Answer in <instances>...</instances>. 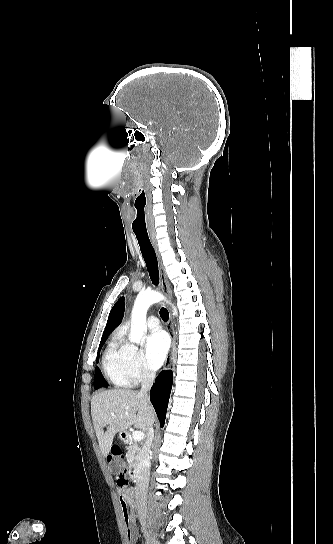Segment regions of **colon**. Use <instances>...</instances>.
<instances>
[{
	"label": "colon",
	"mask_w": 333,
	"mask_h": 544,
	"mask_svg": "<svg viewBox=\"0 0 333 544\" xmlns=\"http://www.w3.org/2000/svg\"><path fill=\"white\" fill-rule=\"evenodd\" d=\"M123 454L119 446H113L108 456L109 461L117 460L122 461ZM115 482L119 488H126L128 486V479L123 473H119L115 476Z\"/></svg>",
	"instance_id": "obj_1"
}]
</instances>
